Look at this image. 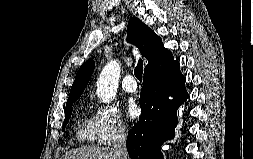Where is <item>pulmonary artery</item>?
I'll list each match as a JSON object with an SVG mask.
<instances>
[{"instance_id": "1", "label": "pulmonary artery", "mask_w": 253, "mask_h": 159, "mask_svg": "<svg viewBox=\"0 0 253 159\" xmlns=\"http://www.w3.org/2000/svg\"><path fill=\"white\" fill-rule=\"evenodd\" d=\"M122 89L127 93H133L137 89V84L134 80L133 75L128 74L126 75L121 83Z\"/></svg>"}]
</instances>
